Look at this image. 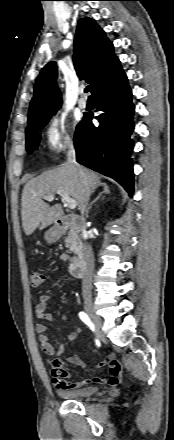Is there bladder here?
I'll return each instance as SVG.
<instances>
[{"label":"bladder","mask_w":174,"mask_h":440,"mask_svg":"<svg viewBox=\"0 0 174 440\" xmlns=\"http://www.w3.org/2000/svg\"><path fill=\"white\" fill-rule=\"evenodd\" d=\"M97 391V388L94 386H84L77 389L69 390V391H63L61 392V395L64 398L67 399H75V398H82L87 397L92 394H94Z\"/></svg>","instance_id":"obj_1"}]
</instances>
